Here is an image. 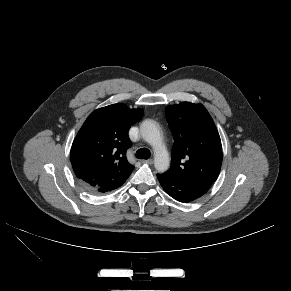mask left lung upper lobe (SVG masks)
Segmentation results:
<instances>
[{
    "label": "left lung upper lobe",
    "instance_id": "left-lung-upper-lobe-1",
    "mask_svg": "<svg viewBox=\"0 0 291 291\" xmlns=\"http://www.w3.org/2000/svg\"><path fill=\"white\" fill-rule=\"evenodd\" d=\"M165 115L175 142L167 173L210 188L222 163L219 133L201 104L183 102L167 106Z\"/></svg>",
    "mask_w": 291,
    "mask_h": 291
}]
</instances>
